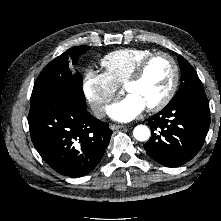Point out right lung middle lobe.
Here are the masks:
<instances>
[{"mask_svg":"<svg viewBox=\"0 0 221 221\" xmlns=\"http://www.w3.org/2000/svg\"><path fill=\"white\" fill-rule=\"evenodd\" d=\"M88 49L89 46L73 47L51 61L35 82L30 105L45 102L57 93H70L85 102L82 76L77 70L75 74L69 71L68 56L72 59V64L76 65L80 55Z\"/></svg>","mask_w":221,"mask_h":221,"instance_id":"right-lung-middle-lobe-1","label":"right lung middle lobe"}]
</instances>
